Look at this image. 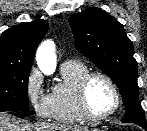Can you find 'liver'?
<instances>
[{
  "label": "liver",
  "mask_w": 147,
  "mask_h": 131,
  "mask_svg": "<svg viewBox=\"0 0 147 131\" xmlns=\"http://www.w3.org/2000/svg\"><path fill=\"white\" fill-rule=\"evenodd\" d=\"M87 128L77 125H65V124H21L15 125L11 123L10 115L7 113H0V131H85Z\"/></svg>",
  "instance_id": "6515ba94"
}]
</instances>
